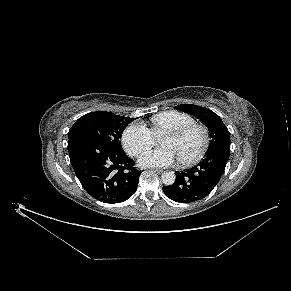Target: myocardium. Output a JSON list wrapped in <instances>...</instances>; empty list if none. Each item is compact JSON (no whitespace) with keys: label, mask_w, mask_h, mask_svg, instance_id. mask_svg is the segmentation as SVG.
Segmentation results:
<instances>
[{"label":"myocardium","mask_w":291,"mask_h":291,"mask_svg":"<svg viewBox=\"0 0 291 291\" xmlns=\"http://www.w3.org/2000/svg\"><path fill=\"white\" fill-rule=\"evenodd\" d=\"M194 131L201 132L202 142H201L199 149L197 150V152L194 155H192L189 158L180 159V162L183 165H191V164L196 163L198 160L201 159V157L206 152V150L209 146V143H210V132H209L208 127L203 125V124H200V123H193V124L184 126L182 128L170 131V132L165 134V136H170V137L179 139V138L185 137L186 135H188Z\"/></svg>","instance_id":"1"}]
</instances>
